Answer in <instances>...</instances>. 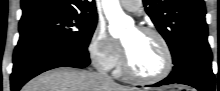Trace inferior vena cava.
Segmentation results:
<instances>
[{"label": "inferior vena cava", "mask_w": 220, "mask_h": 91, "mask_svg": "<svg viewBox=\"0 0 220 91\" xmlns=\"http://www.w3.org/2000/svg\"><path fill=\"white\" fill-rule=\"evenodd\" d=\"M96 75H97L98 77H100L101 79L105 80V81H108V82H111V81H112L111 77H110V76L107 74V72L104 71V70H98V72L96 73Z\"/></svg>", "instance_id": "obj_1"}]
</instances>
